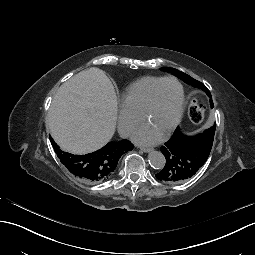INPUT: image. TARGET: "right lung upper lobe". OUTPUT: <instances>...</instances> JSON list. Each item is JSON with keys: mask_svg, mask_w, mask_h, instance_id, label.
I'll list each match as a JSON object with an SVG mask.
<instances>
[{"mask_svg": "<svg viewBox=\"0 0 255 255\" xmlns=\"http://www.w3.org/2000/svg\"><path fill=\"white\" fill-rule=\"evenodd\" d=\"M51 142L62 164L77 178L90 183H99L111 177L114 174L119 158L133 149V144L130 141L121 140L109 142L101 149L86 155H73L63 152L52 138ZM87 155L100 159V174L92 180L83 178V169L85 168L83 158Z\"/></svg>", "mask_w": 255, "mask_h": 255, "instance_id": "cb5924a9", "label": "right lung upper lobe"}]
</instances>
